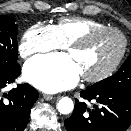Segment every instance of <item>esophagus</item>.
Here are the masks:
<instances>
[{
	"mask_svg": "<svg viewBox=\"0 0 131 131\" xmlns=\"http://www.w3.org/2000/svg\"><path fill=\"white\" fill-rule=\"evenodd\" d=\"M43 98H44L45 100H47V101H50V100L54 99L55 97L52 96V95L43 94Z\"/></svg>",
	"mask_w": 131,
	"mask_h": 131,
	"instance_id": "1",
	"label": "esophagus"
}]
</instances>
